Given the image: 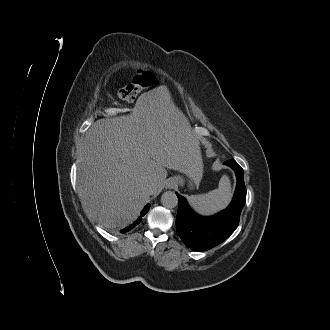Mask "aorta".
I'll return each mask as SVG.
<instances>
[{"mask_svg": "<svg viewBox=\"0 0 330 330\" xmlns=\"http://www.w3.org/2000/svg\"><path fill=\"white\" fill-rule=\"evenodd\" d=\"M161 203L166 208H174L178 205L177 195L173 191H166L161 196Z\"/></svg>", "mask_w": 330, "mask_h": 330, "instance_id": "1", "label": "aorta"}]
</instances>
